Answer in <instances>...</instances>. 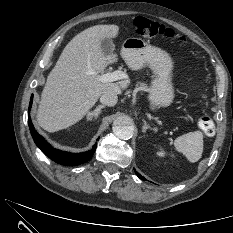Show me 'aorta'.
<instances>
[{"instance_id":"1","label":"aorta","mask_w":233,"mask_h":233,"mask_svg":"<svg viewBox=\"0 0 233 233\" xmlns=\"http://www.w3.org/2000/svg\"><path fill=\"white\" fill-rule=\"evenodd\" d=\"M113 132L120 139H130L134 132L131 118L127 115L116 117L113 122Z\"/></svg>"}]
</instances>
